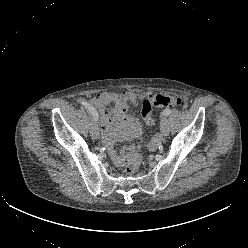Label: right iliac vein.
I'll return each instance as SVG.
<instances>
[{
  "instance_id": "1",
  "label": "right iliac vein",
  "mask_w": 248,
  "mask_h": 248,
  "mask_svg": "<svg viewBox=\"0 0 248 248\" xmlns=\"http://www.w3.org/2000/svg\"><path fill=\"white\" fill-rule=\"evenodd\" d=\"M90 134L93 139H97L99 137V128L97 124V120L93 119L90 126Z\"/></svg>"
}]
</instances>
